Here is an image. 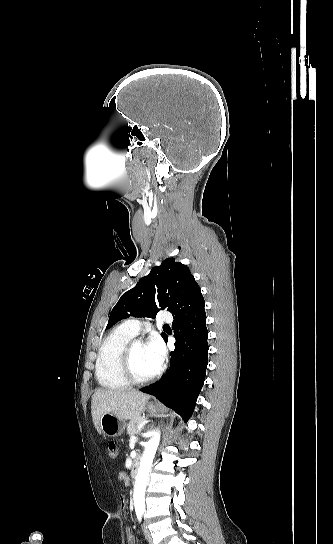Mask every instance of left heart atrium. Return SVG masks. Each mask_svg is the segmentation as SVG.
I'll return each instance as SVG.
<instances>
[{
	"label": "left heart atrium",
	"instance_id": "left-heart-atrium-1",
	"mask_svg": "<svg viewBox=\"0 0 333 544\" xmlns=\"http://www.w3.org/2000/svg\"><path fill=\"white\" fill-rule=\"evenodd\" d=\"M146 351L152 362V365L158 371L161 368L166 355L163 343L160 339L153 338L146 345Z\"/></svg>",
	"mask_w": 333,
	"mask_h": 544
}]
</instances>
